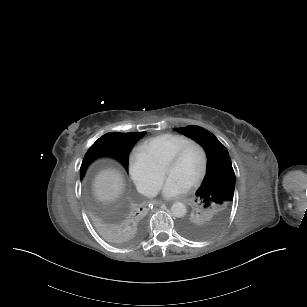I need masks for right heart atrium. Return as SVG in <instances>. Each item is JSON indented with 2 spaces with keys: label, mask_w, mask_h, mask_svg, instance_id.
I'll return each instance as SVG.
<instances>
[{
  "label": "right heart atrium",
  "mask_w": 307,
  "mask_h": 307,
  "mask_svg": "<svg viewBox=\"0 0 307 307\" xmlns=\"http://www.w3.org/2000/svg\"><path fill=\"white\" fill-rule=\"evenodd\" d=\"M129 175L135 186L144 192L151 191L162 177L161 163L154 157L151 146L137 143L128 152Z\"/></svg>",
  "instance_id": "d8ad5b80"
}]
</instances>
